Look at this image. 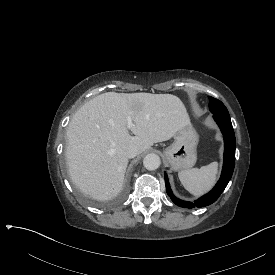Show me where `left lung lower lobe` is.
I'll return each instance as SVG.
<instances>
[{"label": "left lung lower lobe", "instance_id": "1", "mask_svg": "<svg viewBox=\"0 0 275 275\" xmlns=\"http://www.w3.org/2000/svg\"><path fill=\"white\" fill-rule=\"evenodd\" d=\"M214 119L218 126L220 127L223 137H224V163L221 173V177L215 187L204 196L200 197L194 202H188L177 198L173 193L169 185L167 174L165 173V185L166 191L171 200L179 207L192 209L195 207L201 208L214 203L221 193L226 188L228 182L230 181L234 166H235V149L236 140L234 130L232 128V123L230 117H225L222 115L214 114Z\"/></svg>", "mask_w": 275, "mask_h": 275}]
</instances>
